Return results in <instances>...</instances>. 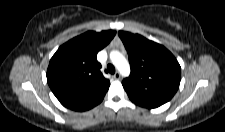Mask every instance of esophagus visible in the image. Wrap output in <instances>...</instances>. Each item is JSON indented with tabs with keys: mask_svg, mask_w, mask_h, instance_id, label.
I'll use <instances>...</instances> for the list:
<instances>
[{
	"mask_svg": "<svg viewBox=\"0 0 225 132\" xmlns=\"http://www.w3.org/2000/svg\"><path fill=\"white\" fill-rule=\"evenodd\" d=\"M113 77L115 80H119L121 78V75L119 72H116Z\"/></svg>",
	"mask_w": 225,
	"mask_h": 132,
	"instance_id": "obj_1",
	"label": "esophagus"
}]
</instances>
